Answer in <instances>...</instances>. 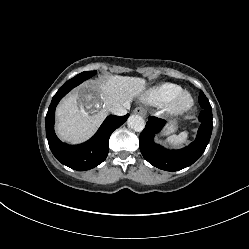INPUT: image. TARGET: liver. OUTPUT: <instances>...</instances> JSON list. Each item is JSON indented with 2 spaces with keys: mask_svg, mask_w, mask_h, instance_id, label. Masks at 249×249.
<instances>
[{
  "mask_svg": "<svg viewBox=\"0 0 249 249\" xmlns=\"http://www.w3.org/2000/svg\"><path fill=\"white\" fill-rule=\"evenodd\" d=\"M146 88L142 78L111 76L98 85L88 86L64 98L56 109L58 136L67 142L79 143L89 138L103 122L110 108L130 103ZM80 95L86 100L79 108Z\"/></svg>",
  "mask_w": 249,
  "mask_h": 249,
  "instance_id": "obj_1",
  "label": "liver"
}]
</instances>
